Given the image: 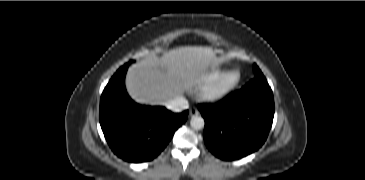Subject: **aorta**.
<instances>
[{
  "mask_svg": "<svg viewBox=\"0 0 365 180\" xmlns=\"http://www.w3.org/2000/svg\"><path fill=\"white\" fill-rule=\"evenodd\" d=\"M190 125L196 130H200L204 127L205 121L201 116H193L190 120Z\"/></svg>",
  "mask_w": 365,
  "mask_h": 180,
  "instance_id": "1",
  "label": "aorta"
}]
</instances>
